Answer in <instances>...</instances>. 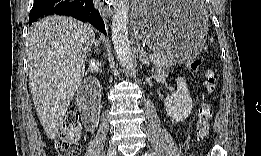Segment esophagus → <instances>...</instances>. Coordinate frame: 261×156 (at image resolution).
Listing matches in <instances>:
<instances>
[{
	"label": "esophagus",
	"instance_id": "obj_1",
	"mask_svg": "<svg viewBox=\"0 0 261 156\" xmlns=\"http://www.w3.org/2000/svg\"><path fill=\"white\" fill-rule=\"evenodd\" d=\"M111 5H113L114 6V3H112ZM113 8H111V6H110V4H108V6L104 9V10H102V14L103 15H111L112 13H113Z\"/></svg>",
	"mask_w": 261,
	"mask_h": 156
}]
</instances>
